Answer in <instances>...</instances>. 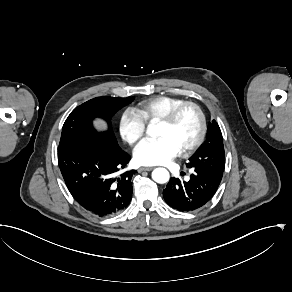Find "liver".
<instances>
[{
	"mask_svg": "<svg viewBox=\"0 0 292 292\" xmlns=\"http://www.w3.org/2000/svg\"><path fill=\"white\" fill-rule=\"evenodd\" d=\"M93 124L94 127L99 131L107 129V124L101 119L94 120Z\"/></svg>",
	"mask_w": 292,
	"mask_h": 292,
	"instance_id": "obj_1",
	"label": "liver"
}]
</instances>
